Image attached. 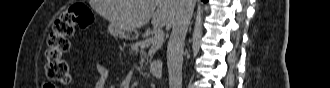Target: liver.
<instances>
[{
    "label": "liver",
    "instance_id": "6515ba94",
    "mask_svg": "<svg viewBox=\"0 0 330 88\" xmlns=\"http://www.w3.org/2000/svg\"><path fill=\"white\" fill-rule=\"evenodd\" d=\"M95 3L96 11L118 32L134 31L151 18L153 25L169 29L180 7L179 0H97Z\"/></svg>",
    "mask_w": 330,
    "mask_h": 88
}]
</instances>
